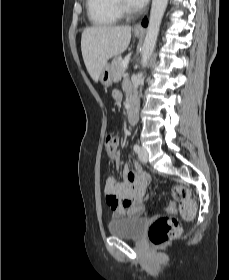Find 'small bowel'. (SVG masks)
<instances>
[{
	"label": "small bowel",
	"instance_id": "1",
	"mask_svg": "<svg viewBox=\"0 0 229 280\" xmlns=\"http://www.w3.org/2000/svg\"><path fill=\"white\" fill-rule=\"evenodd\" d=\"M126 89L134 91L131 85H126ZM113 97L120 100L122 95L120 92H114ZM117 170L120 169L121 158L119 153L113 155ZM126 182L118 183L112 175L105 180L104 194L107 204L113 210L114 218L123 216L142 217L147 211L144 205L146 195L147 182L143 179L142 166L140 162H134V170L129 167L124 169ZM141 177L139 181L135 179Z\"/></svg>",
	"mask_w": 229,
	"mask_h": 280
}]
</instances>
